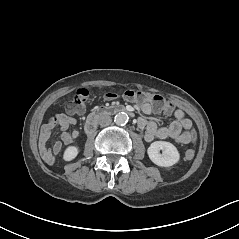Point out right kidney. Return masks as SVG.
Masks as SVG:
<instances>
[{"instance_id":"right-kidney-1","label":"right kidney","mask_w":239,"mask_h":239,"mask_svg":"<svg viewBox=\"0 0 239 239\" xmlns=\"http://www.w3.org/2000/svg\"><path fill=\"white\" fill-rule=\"evenodd\" d=\"M78 154H79L78 146L72 145V155H71V153L66 152V153H64L63 158L66 161H69L72 158V161H73L78 156Z\"/></svg>"}]
</instances>
